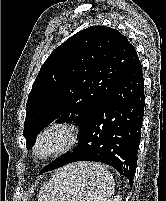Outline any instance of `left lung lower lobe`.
I'll list each match as a JSON object with an SVG mask.
<instances>
[{
	"label": "left lung lower lobe",
	"instance_id": "obj_1",
	"mask_svg": "<svg viewBox=\"0 0 166 201\" xmlns=\"http://www.w3.org/2000/svg\"><path fill=\"white\" fill-rule=\"evenodd\" d=\"M143 88L142 66L136 55L80 128L74 151L43 168L40 174L76 161H96L115 168L132 186L144 115Z\"/></svg>",
	"mask_w": 166,
	"mask_h": 201
}]
</instances>
